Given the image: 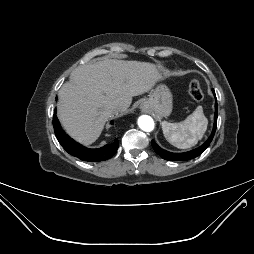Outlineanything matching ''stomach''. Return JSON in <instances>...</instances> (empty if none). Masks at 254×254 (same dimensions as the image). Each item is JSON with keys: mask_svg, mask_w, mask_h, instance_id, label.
Masks as SVG:
<instances>
[{"mask_svg": "<svg viewBox=\"0 0 254 254\" xmlns=\"http://www.w3.org/2000/svg\"><path fill=\"white\" fill-rule=\"evenodd\" d=\"M140 107L154 113L158 119L167 117L172 112V94L167 86L160 84L142 100Z\"/></svg>", "mask_w": 254, "mask_h": 254, "instance_id": "stomach-1", "label": "stomach"}]
</instances>
